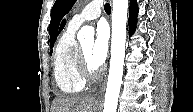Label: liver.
<instances>
[{"mask_svg": "<svg viewBox=\"0 0 193 112\" xmlns=\"http://www.w3.org/2000/svg\"><path fill=\"white\" fill-rule=\"evenodd\" d=\"M51 112H93L96 110L92 97H59L54 100Z\"/></svg>", "mask_w": 193, "mask_h": 112, "instance_id": "liver-1", "label": "liver"}]
</instances>
